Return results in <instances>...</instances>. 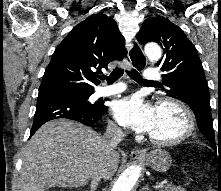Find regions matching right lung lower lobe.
I'll return each instance as SVG.
<instances>
[{"label":"right lung lower lobe","mask_w":221,"mask_h":191,"mask_svg":"<svg viewBox=\"0 0 221 191\" xmlns=\"http://www.w3.org/2000/svg\"><path fill=\"white\" fill-rule=\"evenodd\" d=\"M108 107L98 102L88 107L74 91L50 89L39 91L30 137L47 121L66 118L91 126L98 122Z\"/></svg>","instance_id":"right-lung-lower-lobe-1"}]
</instances>
